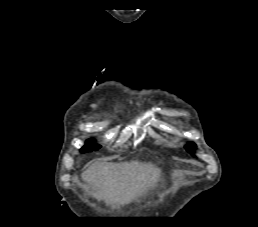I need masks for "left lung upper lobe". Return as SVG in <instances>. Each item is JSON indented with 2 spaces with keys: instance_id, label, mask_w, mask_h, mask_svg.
Returning a JSON list of instances; mask_svg holds the SVG:
<instances>
[{
  "instance_id": "5c2ea615",
  "label": "left lung upper lobe",
  "mask_w": 258,
  "mask_h": 227,
  "mask_svg": "<svg viewBox=\"0 0 258 227\" xmlns=\"http://www.w3.org/2000/svg\"><path fill=\"white\" fill-rule=\"evenodd\" d=\"M185 147H186L187 151L191 152L196 148V145L194 143H189Z\"/></svg>"
}]
</instances>
